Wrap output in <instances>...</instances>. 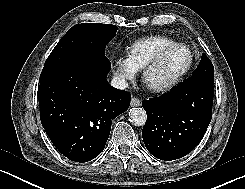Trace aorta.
<instances>
[{"instance_id": "762f6f07", "label": "aorta", "mask_w": 245, "mask_h": 189, "mask_svg": "<svg viewBox=\"0 0 245 189\" xmlns=\"http://www.w3.org/2000/svg\"><path fill=\"white\" fill-rule=\"evenodd\" d=\"M129 120L135 126H143L147 120L146 111L139 107L131 108L129 110Z\"/></svg>"}]
</instances>
